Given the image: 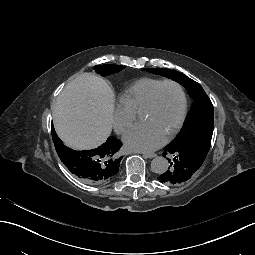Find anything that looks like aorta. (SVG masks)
Listing matches in <instances>:
<instances>
[{
  "instance_id": "obj_1",
  "label": "aorta",
  "mask_w": 255,
  "mask_h": 255,
  "mask_svg": "<svg viewBox=\"0 0 255 255\" xmlns=\"http://www.w3.org/2000/svg\"><path fill=\"white\" fill-rule=\"evenodd\" d=\"M169 167V162L162 156H157L151 161V169L157 174H163Z\"/></svg>"
}]
</instances>
